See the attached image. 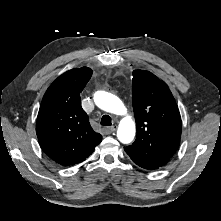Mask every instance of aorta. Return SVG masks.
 <instances>
[{"label":"aorta","mask_w":221,"mask_h":221,"mask_svg":"<svg viewBox=\"0 0 221 221\" xmlns=\"http://www.w3.org/2000/svg\"><path fill=\"white\" fill-rule=\"evenodd\" d=\"M94 102L106 112L119 116L125 115L119 123L117 138L124 144L132 142L136 132L135 122L130 116L126 115L127 112L123 102L117 96L105 91H97L94 94Z\"/></svg>","instance_id":"1"}]
</instances>
